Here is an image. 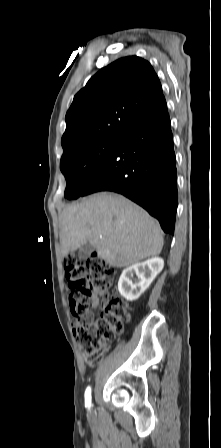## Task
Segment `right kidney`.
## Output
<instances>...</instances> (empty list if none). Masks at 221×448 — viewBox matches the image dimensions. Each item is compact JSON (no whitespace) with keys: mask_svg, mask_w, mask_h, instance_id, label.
<instances>
[{"mask_svg":"<svg viewBox=\"0 0 221 448\" xmlns=\"http://www.w3.org/2000/svg\"><path fill=\"white\" fill-rule=\"evenodd\" d=\"M163 267L164 260L159 257L127 267L123 270L118 281L119 293L127 301L137 300L162 271ZM134 275L137 279H134Z\"/></svg>","mask_w":221,"mask_h":448,"instance_id":"ca27d5eb","label":"right kidney"}]
</instances>
